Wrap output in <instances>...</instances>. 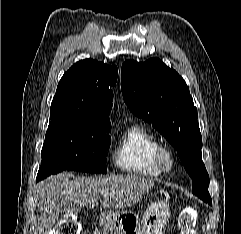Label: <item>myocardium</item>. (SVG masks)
I'll return each mask as SVG.
<instances>
[{
  "instance_id": "f54148a6",
  "label": "myocardium",
  "mask_w": 241,
  "mask_h": 234,
  "mask_svg": "<svg viewBox=\"0 0 241 234\" xmlns=\"http://www.w3.org/2000/svg\"><path fill=\"white\" fill-rule=\"evenodd\" d=\"M155 160L161 171L169 172L175 164V157L171 149L160 145L155 152Z\"/></svg>"
}]
</instances>
